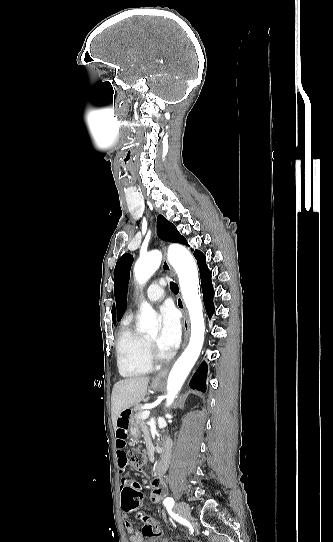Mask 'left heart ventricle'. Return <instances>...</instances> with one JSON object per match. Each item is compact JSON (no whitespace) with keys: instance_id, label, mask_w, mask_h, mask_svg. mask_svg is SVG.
<instances>
[{"instance_id":"obj_1","label":"left heart ventricle","mask_w":333,"mask_h":542,"mask_svg":"<svg viewBox=\"0 0 333 542\" xmlns=\"http://www.w3.org/2000/svg\"><path fill=\"white\" fill-rule=\"evenodd\" d=\"M155 345L157 352L162 356H167L168 353L160 346L158 340H159V333L152 334L150 336H147Z\"/></svg>"}]
</instances>
